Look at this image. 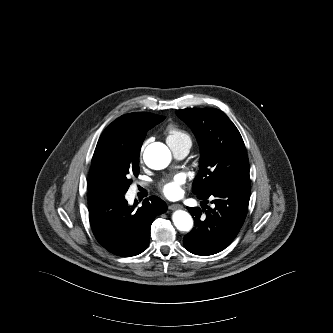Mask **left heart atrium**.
Instances as JSON below:
<instances>
[{
	"instance_id": "left-heart-atrium-1",
	"label": "left heart atrium",
	"mask_w": 333,
	"mask_h": 333,
	"mask_svg": "<svg viewBox=\"0 0 333 333\" xmlns=\"http://www.w3.org/2000/svg\"><path fill=\"white\" fill-rule=\"evenodd\" d=\"M184 181L183 175L179 174L172 180L165 182L161 187L164 195L169 198L179 197L183 192L182 185L184 184Z\"/></svg>"
}]
</instances>
